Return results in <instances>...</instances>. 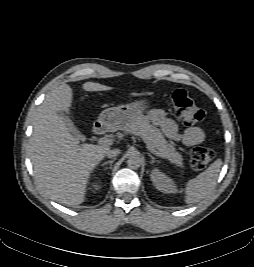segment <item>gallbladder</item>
Returning a JSON list of instances; mask_svg holds the SVG:
<instances>
[{
  "mask_svg": "<svg viewBox=\"0 0 254 267\" xmlns=\"http://www.w3.org/2000/svg\"><path fill=\"white\" fill-rule=\"evenodd\" d=\"M59 116L62 118L63 122L65 123L68 130L75 135L78 139H83V135L80 133V131L74 126L73 122L70 120V118L65 115L63 112L58 113Z\"/></svg>",
  "mask_w": 254,
  "mask_h": 267,
  "instance_id": "1",
  "label": "gallbladder"
}]
</instances>
